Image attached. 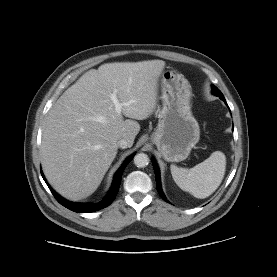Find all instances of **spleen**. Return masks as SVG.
Returning <instances> with one entry per match:
<instances>
[{
  "mask_svg": "<svg viewBox=\"0 0 277 277\" xmlns=\"http://www.w3.org/2000/svg\"><path fill=\"white\" fill-rule=\"evenodd\" d=\"M175 183L196 198L204 199L220 186L226 169V157L221 151L213 152L209 158L193 168L185 169L171 165Z\"/></svg>",
  "mask_w": 277,
  "mask_h": 277,
  "instance_id": "obj_1",
  "label": "spleen"
}]
</instances>
